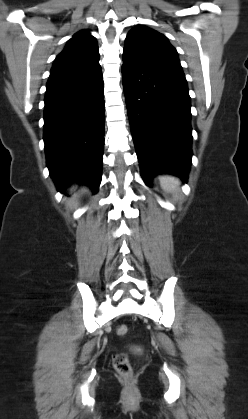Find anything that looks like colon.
<instances>
[{
	"instance_id": "1",
	"label": "colon",
	"mask_w": 248,
	"mask_h": 419,
	"mask_svg": "<svg viewBox=\"0 0 248 419\" xmlns=\"http://www.w3.org/2000/svg\"><path fill=\"white\" fill-rule=\"evenodd\" d=\"M116 332L119 336H125L128 333V328L126 325H120ZM113 366L118 374L125 378H131L132 368L127 354H116L113 358Z\"/></svg>"
}]
</instances>
